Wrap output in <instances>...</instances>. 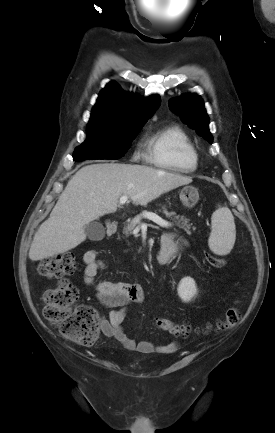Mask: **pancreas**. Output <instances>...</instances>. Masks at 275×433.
<instances>
[{"instance_id":"cf45deb5","label":"pancreas","mask_w":275,"mask_h":433,"mask_svg":"<svg viewBox=\"0 0 275 433\" xmlns=\"http://www.w3.org/2000/svg\"><path fill=\"white\" fill-rule=\"evenodd\" d=\"M147 213H148V211L145 210L142 213H140L139 215H137L135 218H133L132 221L129 222L124 227L123 233L126 236H128L130 233H132V231L135 229L138 221L142 218V216H144ZM171 216H173V221L176 223V226L179 227L180 229L185 230L188 234L191 233V231H190L191 228L193 230H195V227H192V224L189 223L188 219H186L184 217L176 216V214L174 212L167 214V217H171Z\"/></svg>"}]
</instances>
